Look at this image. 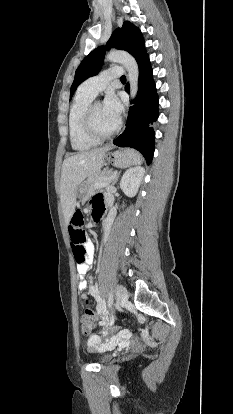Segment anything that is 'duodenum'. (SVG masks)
Listing matches in <instances>:
<instances>
[{
    "mask_svg": "<svg viewBox=\"0 0 233 414\" xmlns=\"http://www.w3.org/2000/svg\"><path fill=\"white\" fill-rule=\"evenodd\" d=\"M111 212H113V211H111ZM100 216H101V211H100V210H95V211L93 212V218H94V219H99V218H100Z\"/></svg>",
    "mask_w": 233,
    "mask_h": 414,
    "instance_id": "410a0bca",
    "label": "duodenum"
}]
</instances>
